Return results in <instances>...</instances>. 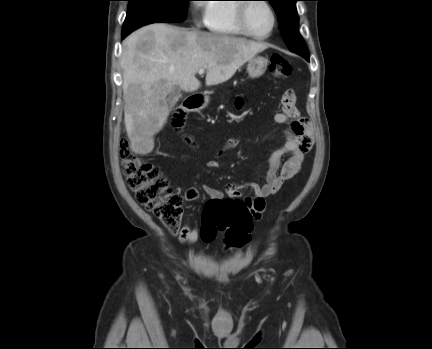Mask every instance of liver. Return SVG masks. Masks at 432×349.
Returning <instances> with one entry per match:
<instances>
[{
    "label": "liver",
    "instance_id": "6515ba94",
    "mask_svg": "<svg viewBox=\"0 0 432 349\" xmlns=\"http://www.w3.org/2000/svg\"><path fill=\"white\" fill-rule=\"evenodd\" d=\"M267 43L164 23L144 26L123 42L124 122L131 149L148 154L154 136L163 128L170 110L167 96L177 86L194 92L196 78L207 71V86L229 80L244 63L267 49Z\"/></svg>",
    "mask_w": 432,
    "mask_h": 349
}]
</instances>
